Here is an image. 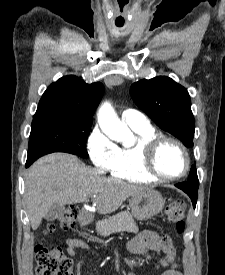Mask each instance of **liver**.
Masks as SVG:
<instances>
[{
    "label": "liver",
    "mask_w": 225,
    "mask_h": 275,
    "mask_svg": "<svg viewBox=\"0 0 225 275\" xmlns=\"http://www.w3.org/2000/svg\"><path fill=\"white\" fill-rule=\"evenodd\" d=\"M149 188L103 177L76 156L52 153L41 157L28 169L25 201L30 224L36 230L51 206L92 202L100 214L115 212L133 194Z\"/></svg>",
    "instance_id": "1"
}]
</instances>
